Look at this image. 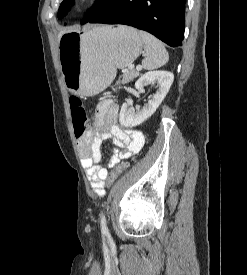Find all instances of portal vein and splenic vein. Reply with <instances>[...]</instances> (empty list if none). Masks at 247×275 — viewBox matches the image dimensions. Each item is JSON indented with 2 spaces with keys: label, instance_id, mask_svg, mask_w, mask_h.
I'll return each mask as SVG.
<instances>
[{
  "label": "portal vein and splenic vein",
  "instance_id": "18ae733b",
  "mask_svg": "<svg viewBox=\"0 0 247 275\" xmlns=\"http://www.w3.org/2000/svg\"><path fill=\"white\" fill-rule=\"evenodd\" d=\"M136 70H137V71H141V70H142V67H141V66H137V67H136Z\"/></svg>",
  "mask_w": 247,
  "mask_h": 275
}]
</instances>
